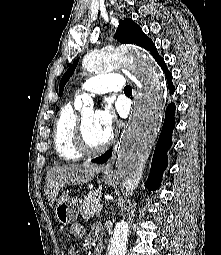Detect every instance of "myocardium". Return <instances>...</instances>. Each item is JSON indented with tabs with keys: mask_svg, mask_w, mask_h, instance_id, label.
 Listing matches in <instances>:
<instances>
[{
	"mask_svg": "<svg viewBox=\"0 0 221 255\" xmlns=\"http://www.w3.org/2000/svg\"><path fill=\"white\" fill-rule=\"evenodd\" d=\"M114 138L113 132H110L108 139L99 147H92L88 144L85 131L83 117L78 118L76 126V145L83 155H96L104 152L112 143Z\"/></svg>",
	"mask_w": 221,
	"mask_h": 255,
	"instance_id": "f54148a6",
	"label": "myocardium"
}]
</instances>
